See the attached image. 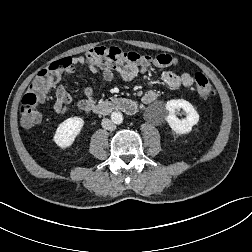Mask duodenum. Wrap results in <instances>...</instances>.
I'll list each match as a JSON object with an SVG mask.
<instances>
[{
    "label": "duodenum",
    "instance_id": "410a0bca",
    "mask_svg": "<svg viewBox=\"0 0 252 252\" xmlns=\"http://www.w3.org/2000/svg\"><path fill=\"white\" fill-rule=\"evenodd\" d=\"M137 103L129 99L110 98L99 104L92 105L88 111L109 114L114 111H122L126 114H134L137 111Z\"/></svg>",
    "mask_w": 252,
    "mask_h": 252
}]
</instances>
